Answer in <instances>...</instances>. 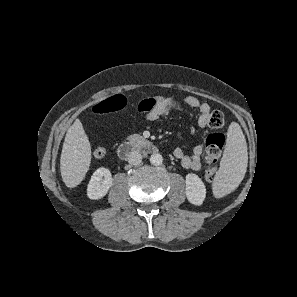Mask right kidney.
I'll return each mask as SVG.
<instances>
[{
	"mask_svg": "<svg viewBox=\"0 0 297 297\" xmlns=\"http://www.w3.org/2000/svg\"><path fill=\"white\" fill-rule=\"evenodd\" d=\"M113 178L109 169L101 167L91 176L87 187V195L90 199L103 198L111 188Z\"/></svg>",
	"mask_w": 297,
	"mask_h": 297,
	"instance_id": "right-kidney-1",
	"label": "right kidney"
}]
</instances>
